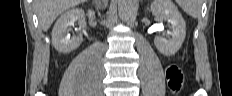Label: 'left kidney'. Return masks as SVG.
Listing matches in <instances>:
<instances>
[{
    "instance_id": "5707ae66",
    "label": "left kidney",
    "mask_w": 232,
    "mask_h": 96,
    "mask_svg": "<svg viewBox=\"0 0 232 96\" xmlns=\"http://www.w3.org/2000/svg\"><path fill=\"white\" fill-rule=\"evenodd\" d=\"M153 15L168 20L171 24V38L155 37L154 43L158 51L165 55H174L181 47L186 36V23L177 7L171 0H154L150 6Z\"/></svg>"
}]
</instances>
